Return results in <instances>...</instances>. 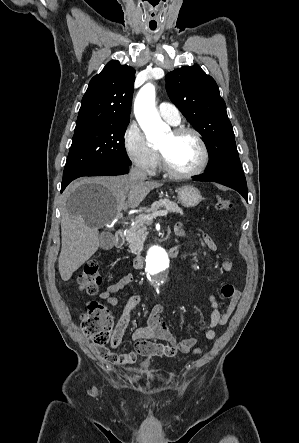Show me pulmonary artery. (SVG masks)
Wrapping results in <instances>:
<instances>
[{
  "instance_id": "e3ab8cb5",
  "label": "pulmonary artery",
  "mask_w": 299,
  "mask_h": 443,
  "mask_svg": "<svg viewBox=\"0 0 299 443\" xmlns=\"http://www.w3.org/2000/svg\"><path fill=\"white\" fill-rule=\"evenodd\" d=\"M160 116L172 125H177L181 121L177 107L171 103L162 102L158 106Z\"/></svg>"
}]
</instances>
